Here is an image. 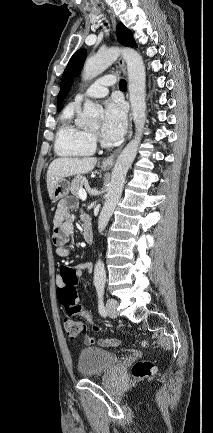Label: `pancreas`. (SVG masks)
<instances>
[{
  "mask_svg": "<svg viewBox=\"0 0 213 433\" xmlns=\"http://www.w3.org/2000/svg\"><path fill=\"white\" fill-rule=\"evenodd\" d=\"M86 180L82 176H76L71 183V193L75 196L79 195V190L83 187Z\"/></svg>",
  "mask_w": 213,
  "mask_h": 433,
  "instance_id": "1",
  "label": "pancreas"
}]
</instances>
